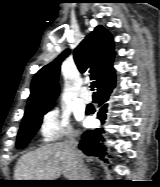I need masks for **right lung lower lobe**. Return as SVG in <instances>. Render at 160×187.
Wrapping results in <instances>:
<instances>
[{
    "label": "right lung lower lobe",
    "instance_id": "1",
    "mask_svg": "<svg viewBox=\"0 0 160 187\" xmlns=\"http://www.w3.org/2000/svg\"><path fill=\"white\" fill-rule=\"evenodd\" d=\"M115 88V74L111 77L103 80L99 86L97 87L98 95H99V107L97 110L92 106H88L86 109V114L96 113L97 118L104 123L106 119L107 112V104L110 93ZM104 130L103 129H95L88 130L82 134V139L79 144V148L89 156H97L102 160H105L106 147L103 145ZM82 187H89L88 184L78 185Z\"/></svg>",
    "mask_w": 160,
    "mask_h": 187
}]
</instances>
